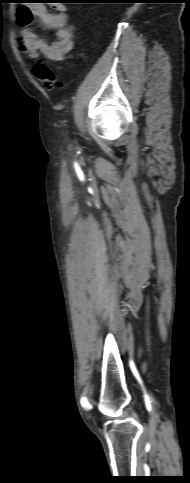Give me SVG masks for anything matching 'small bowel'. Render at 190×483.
<instances>
[{
  "instance_id": "obj_1",
  "label": "small bowel",
  "mask_w": 190,
  "mask_h": 483,
  "mask_svg": "<svg viewBox=\"0 0 190 483\" xmlns=\"http://www.w3.org/2000/svg\"><path fill=\"white\" fill-rule=\"evenodd\" d=\"M21 6L17 10V21L22 25L18 39L19 50L30 59L42 54L53 62H65L71 58L74 47V27L68 23V15L63 5L57 4L49 12L44 4L34 2ZM34 18L40 20L43 27L55 31V40L51 43L46 38L33 32L28 25Z\"/></svg>"
}]
</instances>
